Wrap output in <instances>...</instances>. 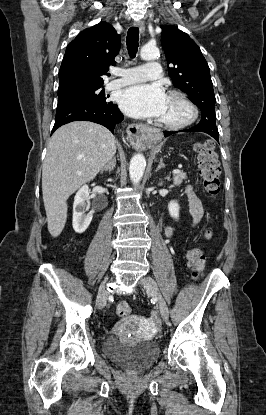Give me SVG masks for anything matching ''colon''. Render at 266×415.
I'll return each mask as SVG.
<instances>
[{"label":"colon","instance_id":"obj_1","mask_svg":"<svg viewBox=\"0 0 266 415\" xmlns=\"http://www.w3.org/2000/svg\"><path fill=\"white\" fill-rule=\"evenodd\" d=\"M197 153L199 174L202 179L203 187L208 195L216 197L220 192V166L214 152L213 143L206 141L195 146ZM211 233L206 232L205 236L210 237ZM187 261L194 278H199L205 267V256L198 247L191 248L187 252ZM117 315L127 317L131 314V307L127 302H120L117 306Z\"/></svg>","mask_w":266,"mask_h":415}]
</instances>
